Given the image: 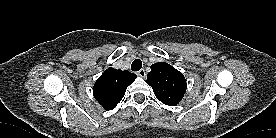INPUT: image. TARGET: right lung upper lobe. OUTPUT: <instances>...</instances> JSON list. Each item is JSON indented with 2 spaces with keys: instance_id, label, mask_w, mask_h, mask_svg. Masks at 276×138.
Listing matches in <instances>:
<instances>
[{
  "instance_id": "obj_1",
  "label": "right lung upper lobe",
  "mask_w": 276,
  "mask_h": 138,
  "mask_svg": "<svg viewBox=\"0 0 276 138\" xmlns=\"http://www.w3.org/2000/svg\"><path fill=\"white\" fill-rule=\"evenodd\" d=\"M136 77L137 75L126 70L108 68L95 82L93 95L105 110H112L123 98L127 87Z\"/></svg>"
}]
</instances>
